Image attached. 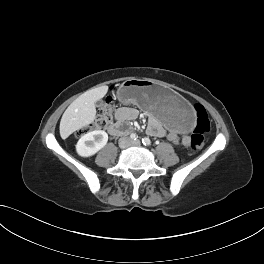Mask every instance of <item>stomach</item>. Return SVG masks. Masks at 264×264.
<instances>
[{"label": "stomach", "instance_id": "1", "mask_svg": "<svg viewBox=\"0 0 264 264\" xmlns=\"http://www.w3.org/2000/svg\"><path fill=\"white\" fill-rule=\"evenodd\" d=\"M121 98L137 105L167 127L186 132L195 123L187 102L173 90L151 79H128L119 89Z\"/></svg>", "mask_w": 264, "mask_h": 264}]
</instances>
